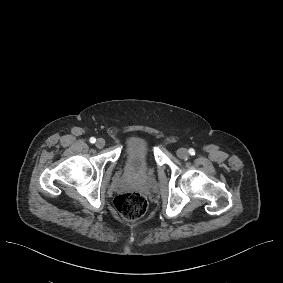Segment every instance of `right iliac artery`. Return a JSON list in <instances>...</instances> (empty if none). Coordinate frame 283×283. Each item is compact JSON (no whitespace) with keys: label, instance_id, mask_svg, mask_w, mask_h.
Instances as JSON below:
<instances>
[{"label":"right iliac artery","instance_id":"1","mask_svg":"<svg viewBox=\"0 0 283 283\" xmlns=\"http://www.w3.org/2000/svg\"><path fill=\"white\" fill-rule=\"evenodd\" d=\"M95 141H96V139H95L94 137H91V138H90V142H91V143H95Z\"/></svg>","mask_w":283,"mask_h":283}]
</instances>
